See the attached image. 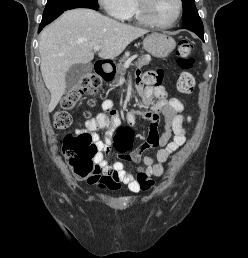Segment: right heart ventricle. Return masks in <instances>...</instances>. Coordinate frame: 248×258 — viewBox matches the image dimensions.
<instances>
[{"instance_id": "1", "label": "right heart ventricle", "mask_w": 248, "mask_h": 258, "mask_svg": "<svg viewBox=\"0 0 248 258\" xmlns=\"http://www.w3.org/2000/svg\"><path fill=\"white\" fill-rule=\"evenodd\" d=\"M124 19L143 22L138 15L136 0H130V8Z\"/></svg>"}]
</instances>
